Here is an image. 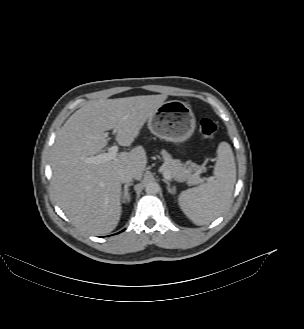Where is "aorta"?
<instances>
[{
  "label": "aorta",
  "mask_w": 304,
  "mask_h": 329,
  "mask_svg": "<svg viewBox=\"0 0 304 329\" xmlns=\"http://www.w3.org/2000/svg\"><path fill=\"white\" fill-rule=\"evenodd\" d=\"M145 191L147 194L154 195L159 191V185L156 182H149L145 186Z\"/></svg>",
  "instance_id": "obj_1"
}]
</instances>
